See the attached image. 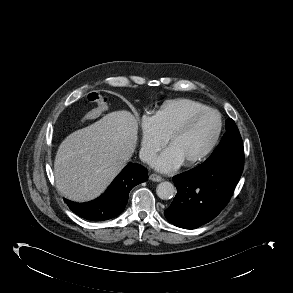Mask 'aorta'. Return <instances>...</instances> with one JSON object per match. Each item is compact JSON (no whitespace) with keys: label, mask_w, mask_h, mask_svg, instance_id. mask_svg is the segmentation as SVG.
I'll return each mask as SVG.
<instances>
[{"label":"aorta","mask_w":293,"mask_h":293,"mask_svg":"<svg viewBox=\"0 0 293 293\" xmlns=\"http://www.w3.org/2000/svg\"><path fill=\"white\" fill-rule=\"evenodd\" d=\"M176 193L174 185L168 181L161 182L157 185L156 194L160 199H171Z\"/></svg>","instance_id":"aorta-1"}]
</instances>
